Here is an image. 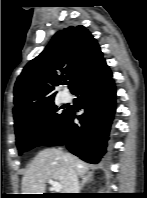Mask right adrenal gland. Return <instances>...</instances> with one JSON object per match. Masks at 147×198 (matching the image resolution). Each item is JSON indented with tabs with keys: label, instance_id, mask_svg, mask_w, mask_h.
I'll return each instance as SVG.
<instances>
[{
	"label": "right adrenal gland",
	"instance_id": "2a0ac1e0",
	"mask_svg": "<svg viewBox=\"0 0 147 198\" xmlns=\"http://www.w3.org/2000/svg\"><path fill=\"white\" fill-rule=\"evenodd\" d=\"M92 178V173L91 172H87V173H84L82 176H81V182H80V187L79 189L82 190L84 185L86 183H88Z\"/></svg>",
	"mask_w": 147,
	"mask_h": 198
}]
</instances>
